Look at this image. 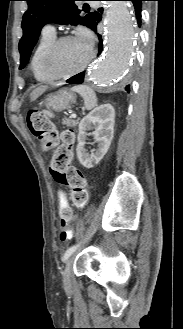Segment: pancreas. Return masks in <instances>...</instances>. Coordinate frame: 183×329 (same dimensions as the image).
<instances>
[{"instance_id": "obj_1", "label": "pancreas", "mask_w": 183, "mask_h": 329, "mask_svg": "<svg viewBox=\"0 0 183 329\" xmlns=\"http://www.w3.org/2000/svg\"><path fill=\"white\" fill-rule=\"evenodd\" d=\"M62 123L67 127H75L78 124L76 120L63 119Z\"/></svg>"}]
</instances>
